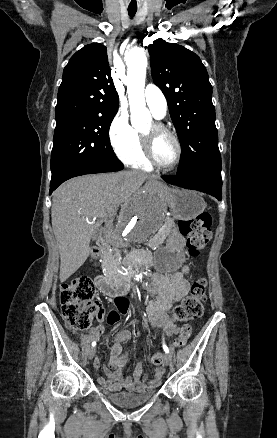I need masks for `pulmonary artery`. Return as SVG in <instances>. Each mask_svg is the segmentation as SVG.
<instances>
[{
    "label": "pulmonary artery",
    "instance_id": "pulmonary-artery-1",
    "mask_svg": "<svg viewBox=\"0 0 277 438\" xmlns=\"http://www.w3.org/2000/svg\"><path fill=\"white\" fill-rule=\"evenodd\" d=\"M147 97L143 99V102L148 106L152 115L156 119H164L167 116L168 105L165 99L166 89L165 87H152V83H147Z\"/></svg>",
    "mask_w": 277,
    "mask_h": 438
}]
</instances>
